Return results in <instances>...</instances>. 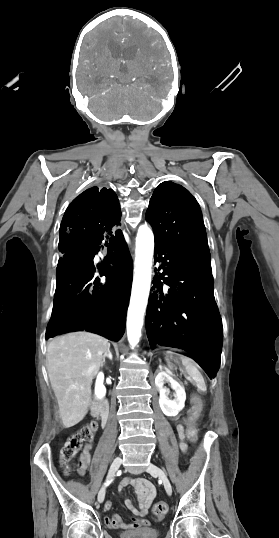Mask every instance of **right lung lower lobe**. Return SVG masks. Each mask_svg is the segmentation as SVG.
<instances>
[{"instance_id": "1", "label": "right lung lower lobe", "mask_w": 279, "mask_h": 538, "mask_svg": "<svg viewBox=\"0 0 279 538\" xmlns=\"http://www.w3.org/2000/svg\"><path fill=\"white\" fill-rule=\"evenodd\" d=\"M120 220L112 189H87L67 208L59 230L61 257L47 339L82 330L113 340L123 336L133 265ZM104 246L107 256L95 264L93 258Z\"/></svg>"}]
</instances>
